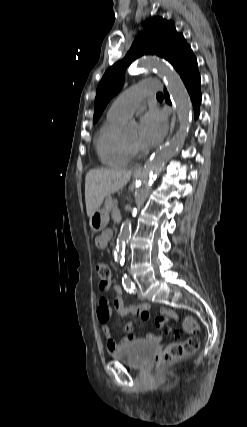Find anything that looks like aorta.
Returning a JSON list of instances; mask_svg holds the SVG:
<instances>
[{
	"label": "aorta",
	"instance_id": "obj_1",
	"mask_svg": "<svg viewBox=\"0 0 247 427\" xmlns=\"http://www.w3.org/2000/svg\"><path fill=\"white\" fill-rule=\"evenodd\" d=\"M136 69H154L157 75L163 78L175 106L180 123V128L173 138L165 146L160 148L155 153L154 157L145 164L143 173L138 181V185L134 193V202L138 207L147 195L153 176L160 172L165 162L177 154L179 148L184 143L188 129L191 126L193 109L182 79L171 66L158 61L154 57L148 56L143 57L138 61ZM131 226V220H125L121 225L120 233L117 238L114 256L121 264L123 263L126 241L131 235Z\"/></svg>",
	"mask_w": 247,
	"mask_h": 427
}]
</instances>
